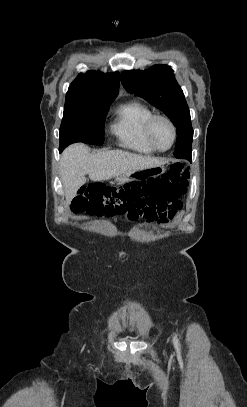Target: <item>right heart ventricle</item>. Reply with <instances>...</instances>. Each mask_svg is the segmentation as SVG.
Returning <instances> with one entry per match:
<instances>
[{"label":"right heart ventricle","instance_id":"obj_1","mask_svg":"<svg viewBox=\"0 0 247 407\" xmlns=\"http://www.w3.org/2000/svg\"><path fill=\"white\" fill-rule=\"evenodd\" d=\"M152 114L151 109L140 102L123 104L115 110L111 131L123 147L141 154H153L156 150L145 135V125Z\"/></svg>","mask_w":247,"mask_h":407}]
</instances>
